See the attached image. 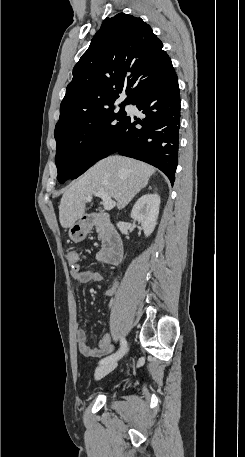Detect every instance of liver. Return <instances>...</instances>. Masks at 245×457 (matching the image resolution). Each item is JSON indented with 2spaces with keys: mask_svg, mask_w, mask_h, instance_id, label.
<instances>
[{
  "mask_svg": "<svg viewBox=\"0 0 245 457\" xmlns=\"http://www.w3.org/2000/svg\"><path fill=\"white\" fill-rule=\"evenodd\" d=\"M153 172L154 166L119 154L99 160L65 190L59 204L61 226L69 229L78 218H82L85 198L97 190L108 192L109 196L117 200V208H124L148 184Z\"/></svg>",
  "mask_w": 245,
  "mask_h": 457,
  "instance_id": "1",
  "label": "liver"
}]
</instances>
